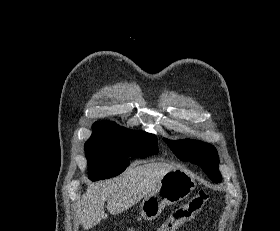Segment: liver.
<instances>
[{"label":"liver","mask_w":280,"mask_h":231,"mask_svg":"<svg viewBox=\"0 0 280 231\" xmlns=\"http://www.w3.org/2000/svg\"><path fill=\"white\" fill-rule=\"evenodd\" d=\"M174 169L169 163L156 161L145 165H129L119 177L89 183L78 201L77 213L84 229H90L107 217L104 201L110 213H121L153 191L163 175Z\"/></svg>","instance_id":"6515ba94"}]
</instances>
